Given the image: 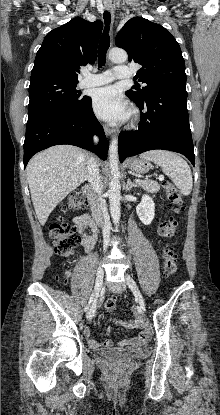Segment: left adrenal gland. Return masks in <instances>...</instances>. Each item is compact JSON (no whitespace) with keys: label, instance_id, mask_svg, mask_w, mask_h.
Returning a JSON list of instances; mask_svg holds the SVG:
<instances>
[{"label":"left adrenal gland","instance_id":"1","mask_svg":"<svg viewBox=\"0 0 220 415\" xmlns=\"http://www.w3.org/2000/svg\"><path fill=\"white\" fill-rule=\"evenodd\" d=\"M137 185L134 184L130 179L127 180V184H126V190L130 191L133 187H136Z\"/></svg>","mask_w":220,"mask_h":415}]
</instances>
